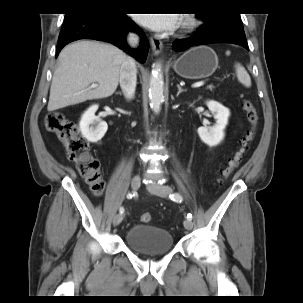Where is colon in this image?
Segmentation results:
<instances>
[{"label":"colon","instance_id":"obj_1","mask_svg":"<svg viewBox=\"0 0 303 303\" xmlns=\"http://www.w3.org/2000/svg\"><path fill=\"white\" fill-rule=\"evenodd\" d=\"M242 98V108L246 113L250 127L243 136L238 150L221 170L222 179L228 178L240 166L251 142L256 137L258 113L248 98L244 96ZM44 126L48 132L58 136L67 150L69 159L76 164L79 174L90 185L94 195L100 196L104 189V182L99 171V161L90 153L88 143L81 140L78 136L76 126L66 120L63 114L59 112L47 115ZM139 219L142 223H148L151 220V214L144 212Z\"/></svg>","mask_w":303,"mask_h":303}]
</instances>
